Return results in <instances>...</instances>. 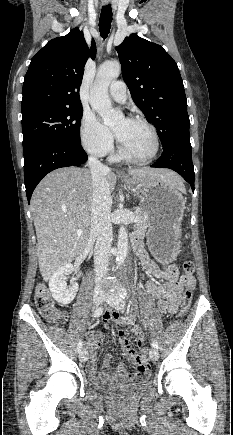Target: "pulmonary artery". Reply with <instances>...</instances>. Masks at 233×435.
I'll use <instances>...</instances> for the list:
<instances>
[{
  "label": "pulmonary artery",
  "instance_id": "obj_1",
  "mask_svg": "<svg viewBox=\"0 0 233 435\" xmlns=\"http://www.w3.org/2000/svg\"><path fill=\"white\" fill-rule=\"evenodd\" d=\"M109 95L112 99L118 102L126 100V85L122 81H114L109 88Z\"/></svg>",
  "mask_w": 233,
  "mask_h": 435
}]
</instances>
